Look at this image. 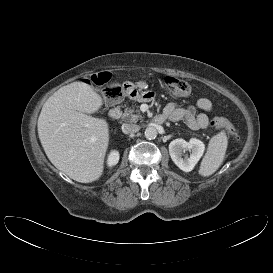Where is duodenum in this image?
Instances as JSON below:
<instances>
[{
    "instance_id": "duodenum-1",
    "label": "duodenum",
    "mask_w": 273,
    "mask_h": 273,
    "mask_svg": "<svg viewBox=\"0 0 273 273\" xmlns=\"http://www.w3.org/2000/svg\"><path fill=\"white\" fill-rule=\"evenodd\" d=\"M109 117L110 119L112 120H117L119 119L120 117V111L117 107H113L110 111H109ZM164 120V117L163 116H160L157 118V121H163Z\"/></svg>"
}]
</instances>
